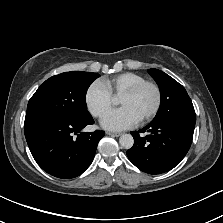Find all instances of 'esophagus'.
I'll return each instance as SVG.
<instances>
[{"instance_id": "obj_1", "label": "esophagus", "mask_w": 223, "mask_h": 223, "mask_svg": "<svg viewBox=\"0 0 223 223\" xmlns=\"http://www.w3.org/2000/svg\"><path fill=\"white\" fill-rule=\"evenodd\" d=\"M106 134L110 136H114V137H119L121 135V133L112 132V131H107Z\"/></svg>"}]
</instances>
